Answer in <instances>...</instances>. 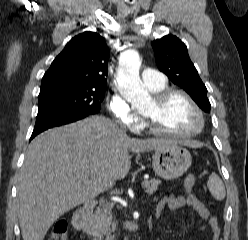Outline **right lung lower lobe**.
<instances>
[{"label": "right lung lower lobe", "mask_w": 248, "mask_h": 240, "mask_svg": "<svg viewBox=\"0 0 248 240\" xmlns=\"http://www.w3.org/2000/svg\"><path fill=\"white\" fill-rule=\"evenodd\" d=\"M86 114H69L62 112L38 113L36 123L31 135L33 139L39 133L56 126H61L85 118Z\"/></svg>", "instance_id": "right-lung-lower-lobe-1"}]
</instances>
